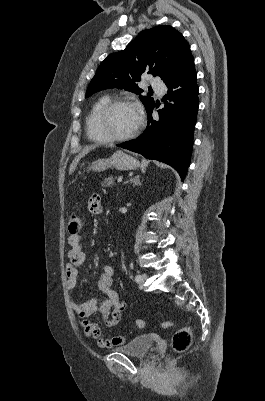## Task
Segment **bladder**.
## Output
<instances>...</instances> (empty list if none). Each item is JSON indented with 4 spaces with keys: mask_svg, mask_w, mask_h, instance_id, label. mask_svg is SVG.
Masks as SVG:
<instances>
[{
    "mask_svg": "<svg viewBox=\"0 0 265 401\" xmlns=\"http://www.w3.org/2000/svg\"><path fill=\"white\" fill-rule=\"evenodd\" d=\"M151 346H154V339L149 336L134 337L125 346L114 347L113 351H121L127 355L145 357Z\"/></svg>",
    "mask_w": 265,
    "mask_h": 401,
    "instance_id": "31cf9c89",
    "label": "bladder"
}]
</instances>
